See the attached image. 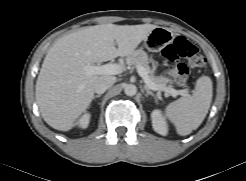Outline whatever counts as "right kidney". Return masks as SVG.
<instances>
[{
  "label": "right kidney",
  "instance_id": "obj_1",
  "mask_svg": "<svg viewBox=\"0 0 246 181\" xmlns=\"http://www.w3.org/2000/svg\"><path fill=\"white\" fill-rule=\"evenodd\" d=\"M90 121V114L89 113H85L77 122V125L80 128H87L88 124Z\"/></svg>",
  "mask_w": 246,
  "mask_h": 181
}]
</instances>
